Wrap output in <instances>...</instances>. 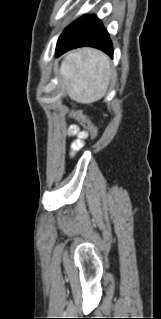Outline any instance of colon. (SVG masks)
Listing matches in <instances>:
<instances>
[{
	"mask_svg": "<svg viewBox=\"0 0 161 319\" xmlns=\"http://www.w3.org/2000/svg\"><path fill=\"white\" fill-rule=\"evenodd\" d=\"M73 117L78 121V123L83 128L86 133V138L90 137L91 139H95L97 137V130L92 122L83 114L80 110H73Z\"/></svg>",
	"mask_w": 161,
	"mask_h": 319,
	"instance_id": "1",
	"label": "colon"
}]
</instances>
